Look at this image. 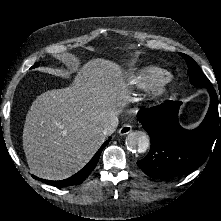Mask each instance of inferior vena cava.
I'll use <instances>...</instances> for the list:
<instances>
[{"label": "inferior vena cava", "instance_id": "obj_1", "mask_svg": "<svg viewBox=\"0 0 221 221\" xmlns=\"http://www.w3.org/2000/svg\"><path fill=\"white\" fill-rule=\"evenodd\" d=\"M117 125H118L117 117L110 118L102 130V135L104 137L111 135L115 131Z\"/></svg>", "mask_w": 221, "mask_h": 221}]
</instances>
